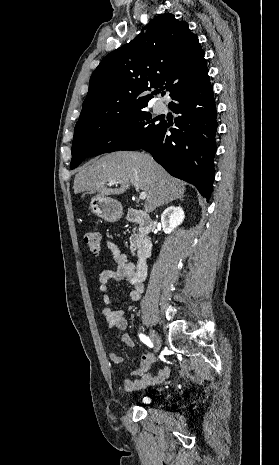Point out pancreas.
Instances as JSON below:
<instances>
[{"label":"pancreas","instance_id":"pancreas-1","mask_svg":"<svg viewBox=\"0 0 279 465\" xmlns=\"http://www.w3.org/2000/svg\"><path fill=\"white\" fill-rule=\"evenodd\" d=\"M140 241H141V238L137 234V229L135 228L133 230V234L131 235V238H130V250H131L132 253H134V251L137 249V247L140 244Z\"/></svg>","mask_w":279,"mask_h":465}]
</instances>
